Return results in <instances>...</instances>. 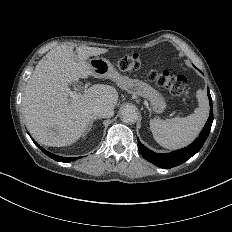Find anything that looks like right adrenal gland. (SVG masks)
I'll list each match as a JSON object with an SVG mask.
<instances>
[{"instance_id":"2a0ac1e0","label":"right adrenal gland","mask_w":232,"mask_h":232,"mask_svg":"<svg viewBox=\"0 0 232 232\" xmlns=\"http://www.w3.org/2000/svg\"><path fill=\"white\" fill-rule=\"evenodd\" d=\"M95 121H97V118H95V119H93V120L91 121V123L89 124L88 129H87V130L85 131V133H84V136H86V135L90 132V130L92 129L93 123H94Z\"/></svg>"}]
</instances>
